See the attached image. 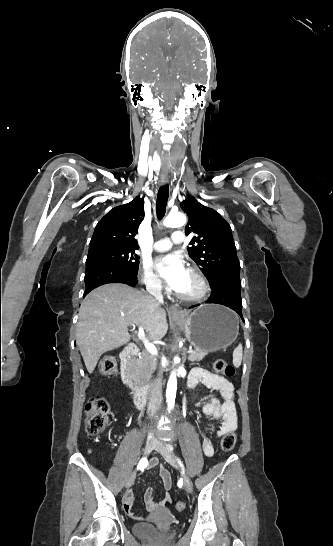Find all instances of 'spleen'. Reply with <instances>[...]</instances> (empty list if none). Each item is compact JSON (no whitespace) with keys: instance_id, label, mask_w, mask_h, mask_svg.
Masks as SVG:
<instances>
[{"instance_id":"spleen-1","label":"spleen","mask_w":333,"mask_h":546,"mask_svg":"<svg viewBox=\"0 0 333 546\" xmlns=\"http://www.w3.org/2000/svg\"><path fill=\"white\" fill-rule=\"evenodd\" d=\"M242 345L239 344L233 351V365L238 368L242 361Z\"/></svg>"}]
</instances>
